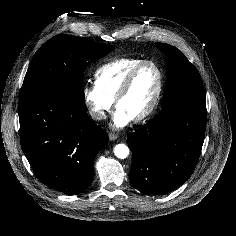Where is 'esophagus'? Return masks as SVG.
<instances>
[{"label": "esophagus", "mask_w": 236, "mask_h": 236, "mask_svg": "<svg viewBox=\"0 0 236 236\" xmlns=\"http://www.w3.org/2000/svg\"><path fill=\"white\" fill-rule=\"evenodd\" d=\"M117 139V135L116 134H114V133H109V140L110 141H114V140H116Z\"/></svg>", "instance_id": "esophagus-1"}]
</instances>
